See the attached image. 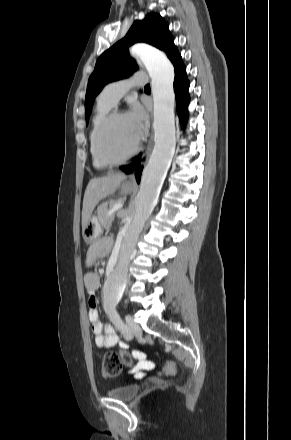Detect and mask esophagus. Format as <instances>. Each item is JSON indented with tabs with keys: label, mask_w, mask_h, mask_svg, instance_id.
Masks as SVG:
<instances>
[{
	"label": "esophagus",
	"mask_w": 291,
	"mask_h": 440,
	"mask_svg": "<svg viewBox=\"0 0 291 440\" xmlns=\"http://www.w3.org/2000/svg\"><path fill=\"white\" fill-rule=\"evenodd\" d=\"M153 145H154V141H153V132H152L151 135H150V139H149V142H148V146H147L145 155H144L145 160L148 158V155L150 154V152H151V150L153 148ZM130 182L133 183V184L135 183L134 176H132L130 178Z\"/></svg>",
	"instance_id": "obj_1"
}]
</instances>
